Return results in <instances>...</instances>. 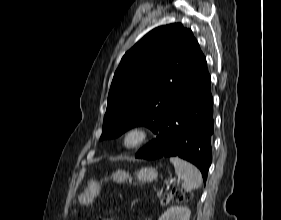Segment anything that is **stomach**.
<instances>
[{
  "instance_id": "stomach-1",
  "label": "stomach",
  "mask_w": 281,
  "mask_h": 220,
  "mask_svg": "<svg viewBox=\"0 0 281 220\" xmlns=\"http://www.w3.org/2000/svg\"><path fill=\"white\" fill-rule=\"evenodd\" d=\"M135 175L138 181L146 183L156 180L158 173L157 170L153 167H144L137 171ZM111 178L117 183H124L125 181L132 180L131 175L124 170H117L115 173L112 174ZM100 189V183L91 180L88 183V187L85 189V191L78 197L79 202L82 205H89L93 202V199L99 193Z\"/></svg>"
}]
</instances>
